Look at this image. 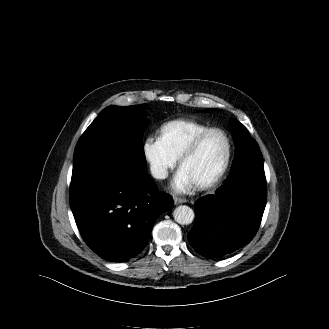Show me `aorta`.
<instances>
[{
	"label": "aorta",
	"instance_id": "762f6f07",
	"mask_svg": "<svg viewBox=\"0 0 329 329\" xmlns=\"http://www.w3.org/2000/svg\"><path fill=\"white\" fill-rule=\"evenodd\" d=\"M173 217L177 223L181 225H188L193 222L195 214L189 206L180 205L175 208Z\"/></svg>",
	"mask_w": 329,
	"mask_h": 329
}]
</instances>
